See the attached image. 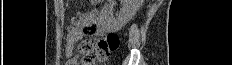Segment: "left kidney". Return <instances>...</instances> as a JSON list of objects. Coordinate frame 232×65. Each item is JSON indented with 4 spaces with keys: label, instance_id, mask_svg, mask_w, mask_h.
Here are the masks:
<instances>
[{
    "label": "left kidney",
    "instance_id": "left-kidney-1",
    "mask_svg": "<svg viewBox=\"0 0 232 65\" xmlns=\"http://www.w3.org/2000/svg\"><path fill=\"white\" fill-rule=\"evenodd\" d=\"M111 2L112 0H108V3L104 5L101 11L100 23L106 31L114 32L120 30L128 23L137 12L141 2L140 0H125L123 8L116 17L110 15Z\"/></svg>",
    "mask_w": 232,
    "mask_h": 65
}]
</instances>
